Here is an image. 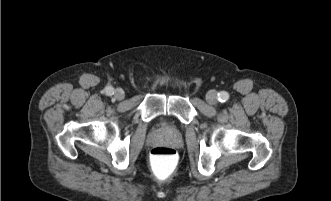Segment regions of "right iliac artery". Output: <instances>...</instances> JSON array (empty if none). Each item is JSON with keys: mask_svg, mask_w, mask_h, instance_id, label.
<instances>
[{"mask_svg": "<svg viewBox=\"0 0 331 201\" xmlns=\"http://www.w3.org/2000/svg\"><path fill=\"white\" fill-rule=\"evenodd\" d=\"M105 93H106V95H108V96L113 95V94H114V88H112V87H106V88H105Z\"/></svg>", "mask_w": 331, "mask_h": 201, "instance_id": "82829eb1", "label": "right iliac artery"}]
</instances>
